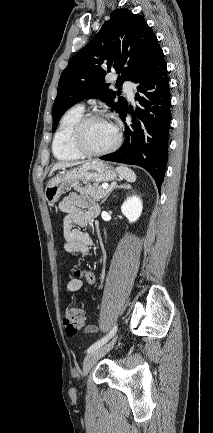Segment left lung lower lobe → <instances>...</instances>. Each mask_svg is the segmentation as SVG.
<instances>
[{"label":"left lung lower lobe","instance_id":"0a47b994","mask_svg":"<svg viewBox=\"0 0 213 433\" xmlns=\"http://www.w3.org/2000/svg\"><path fill=\"white\" fill-rule=\"evenodd\" d=\"M132 82L136 84L135 100L139 106L135 111L126 106L121 114L125 122L127 113H130L132 124H125L123 145L100 159L143 167L152 175L160 190L167 165L171 123L167 65L160 47Z\"/></svg>","mask_w":213,"mask_h":433}]
</instances>
